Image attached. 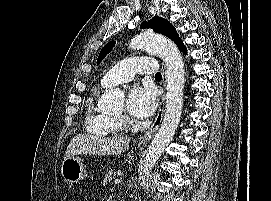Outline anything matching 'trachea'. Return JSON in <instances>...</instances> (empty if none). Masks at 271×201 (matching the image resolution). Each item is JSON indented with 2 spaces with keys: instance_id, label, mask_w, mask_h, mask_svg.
<instances>
[{
  "instance_id": "3493384b",
  "label": "trachea",
  "mask_w": 271,
  "mask_h": 201,
  "mask_svg": "<svg viewBox=\"0 0 271 201\" xmlns=\"http://www.w3.org/2000/svg\"><path fill=\"white\" fill-rule=\"evenodd\" d=\"M155 78H156V79H161V78H162L161 73H160V72H157V73L155 74Z\"/></svg>"
}]
</instances>
